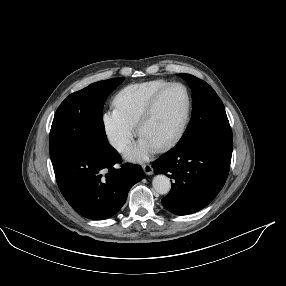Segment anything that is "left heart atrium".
<instances>
[{"instance_id":"left-heart-atrium-1","label":"left heart atrium","mask_w":286,"mask_h":286,"mask_svg":"<svg viewBox=\"0 0 286 286\" xmlns=\"http://www.w3.org/2000/svg\"><path fill=\"white\" fill-rule=\"evenodd\" d=\"M155 152L156 146L141 135L138 143L123 151V155L128 160L144 161Z\"/></svg>"}]
</instances>
